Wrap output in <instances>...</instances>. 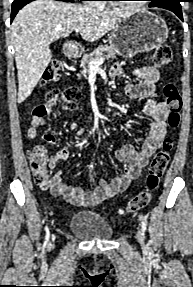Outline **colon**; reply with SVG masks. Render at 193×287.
I'll use <instances>...</instances> for the list:
<instances>
[{
  "label": "colon",
  "mask_w": 193,
  "mask_h": 287,
  "mask_svg": "<svg viewBox=\"0 0 193 287\" xmlns=\"http://www.w3.org/2000/svg\"><path fill=\"white\" fill-rule=\"evenodd\" d=\"M172 50L168 45L159 46L154 54V63L159 67L167 66L172 62ZM62 63L59 59H53L45 74V82H55L61 77ZM163 94L168 107V124L172 129H176L181 120L182 99L177 87L172 83H167L163 88ZM82 97L77 88H68L62 93L49 92L46 96L47 104H39L33 109L32 120L41 125L43 118L49 112L52 105L60 103L63 109H75ZM174 148V140L167 137L161 149L153 157L146 177L145 190L138 193L120 210L121 214L135 213L145 208L151 201L154 192L158 189L161 178L170 162L171 152ZM30 165L34 174V181L37 185L45 188L47 185L50 161L45 148L36 145L30 151Z\"/></svg>",
  "instance_id": "obj_1"
}]
</instances>
